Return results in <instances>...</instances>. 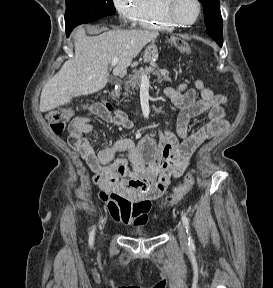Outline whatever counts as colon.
<instances>
[{
    "label": "colon",
    "mask_w": 273,
    "mask_h": 288,
    "mask_svg": "<svg viewBox=\"0 0 273 288\" xmlns=\"http://www.w3.org/2000/svg\"><path fill=\"white\" fill-rule=\"evenodd\" d=\"M177 49L184 53H190V46L183 40H176ZM73 117V110L70 108H58L52 110L47 114V121L56 134H60L64 131L67 123ZM195 183V178L192 174L185 176L184 181L178 185L173 192L165 198L164 205L166 207H172L182 201L192 190Z\"/></svg>",
    "instance_id": "colon-1"
}]
</instances>
